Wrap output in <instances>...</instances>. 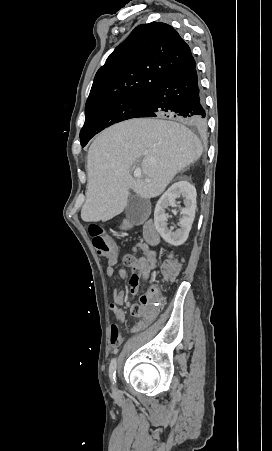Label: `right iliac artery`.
<instances>
[{
    "label": "right iliac artery",
    "mask_w": 272,
    "mask_h": 451,
    "mask_svg": "<svg viewBox=\"0 0 272 451\" xmlns=\"http://www.w3.org/2000/svg\"><path fill=\"white\" fill-rule=\"evenodd\" d=\"M109 376L113 382V384L116 382V359H113L110 363L109 367Z\"/></svg>",
    "instance_id": "obj_1"
}]
</instances>
